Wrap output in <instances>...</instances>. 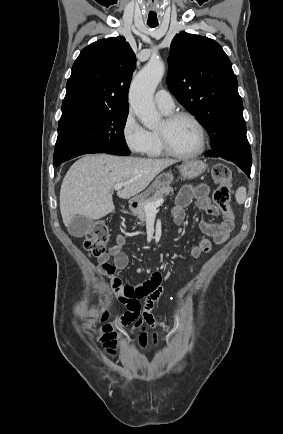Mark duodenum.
<instances>
[{
    "label": "duodenum",
    "mask_w": 283,
    "mask_h": 434,
    "mask_svg": "<svg viewBox=\"0 0 283 434\" xmlns=\"http://www.w3.org/2000/svg\"><path fill=\"white\" fill-rule=\"evenodd\" d=\"M137 202L138 201L136 199H133V200L129 201L128 208L129 209L135 208L137 206Z\"/></svg>",
    "instance_id": "obj_1"
}]
</instances>
